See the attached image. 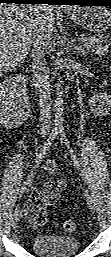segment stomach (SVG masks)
<instances>
[{
  "label": "stomach",
  "instance_id": "stomach-1",
  "mask_svg": "<svg viewBox=\"0 0 111 257\" xmlns=\"http://www.w3.org/2000/svg\"><path fill=\"white\" fill-rule=\"evenodd\" d=\"M68 16L75 24L93 33H101L111 27V12L105 7L76 6Z\"/></svg>",
  "mask_w": 111,
  "mask_h": 257
}]
</instances>
